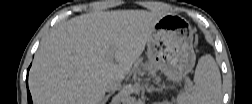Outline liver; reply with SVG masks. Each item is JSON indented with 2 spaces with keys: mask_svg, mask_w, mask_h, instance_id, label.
Segmentation results:
<instances>
[{
  "mask_svg": "<svg viewBox=\"0 0 252 104\" xmlns=\"http://www.w3.org/2000/svg\"><path fill=\"white\" fill-rule=\"evenodd\" d=\"M163 16L145 10L96 11L61 23L35 55L29 73L34 103L100 104L108 82L131 73Z\"/></svg>",
  "mask_w": 252,
  "mask_h": 104,
  "instance_id": "liver-1",
  "label": "liver"
}]
</instances>
